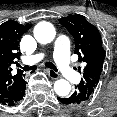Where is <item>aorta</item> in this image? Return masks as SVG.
<instances>
[{
    "instance_id": "obj_1",
    "label": "aorta",
    "mask_w": 117,
    "mask_h": 117,
    "mask_svg": "<svg viewBox=\"0 0 117 117\" xmlns=\"http://www.w3.org/2000/svg\"><path fill=\"white\" fill-rule=\"evenodd\" d=\"M56 35L54 26L49 22H40L34 27L35 39L42 43H51ZM54 91L60 97L68 96L71 91L70 83L65 79H59L54 83Z\"/></svg>"
}]
</instances>
